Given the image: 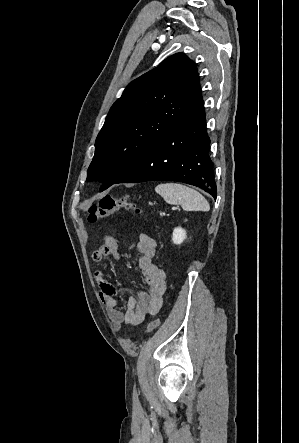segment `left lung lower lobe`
Listing matches in <instances>:
<instances>
[{
	"instance_id": "obj_1",
	"label": "left lung lower lobe",
	"mask_w": 299,
	"mask_h": 443,
	"mask_svg": "<svg viewBox=\"0 0 299 443\" xmlns=\"http://www.w3.org/2000/svg\"><path fill=\"white\" fill-rule=\"evenodd\" d=\"M209 143L201 99L114 184L179 181L197 186L216 199L215 175L208 156Z\"/></svg>"
}]
</instances>
